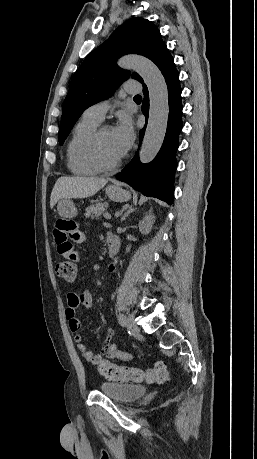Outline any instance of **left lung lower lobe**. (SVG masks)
<instances>
[{"mask_svg":"<svg viewBox=\"0 0 257 459\" xmlns=\"http://www.w3.org/2000/svg\"><path fill=\"white\" fill-rule=\"evenodd\" d=\"M167 86L169 100V117L163 145L155 157L148 163H140L138 152L126 167L116 175V178L132 186L145 196L156 197L168 204L173 201L174 173L177 167L175 153L178 149V136L182 129V104L179 75L175 68L173 57L168 54L158 66ZM142 112L148 120L149 94L146 85H143ZM145 127L140 131V143L143 139Z\"/></svg>","mask_w":257,"mask_h":459,"instance_id":"0a47b994","label":"left lung lower lobe"}]
</instances>
